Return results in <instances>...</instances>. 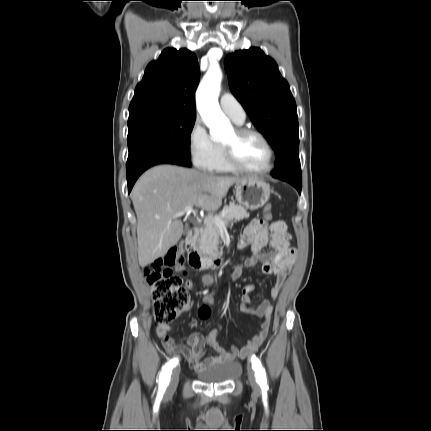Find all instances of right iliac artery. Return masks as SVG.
<instances>
[{"instance_id":"82829eb1","label":"right iliac artery","mask_w":431,"mask_h":431,"mask_svg":"<svg viewBox=\"0 0 431 431\" xmlns=\"http://www.w3.org/2000/svg\"><path fill=\"white\" fill-rule=\"evenodd\" d=\"M178 364V358L175 357L168 361L163 367L159 376V392L164 393L169 381L172 369Z\"/></svg>"}]
</instances>
